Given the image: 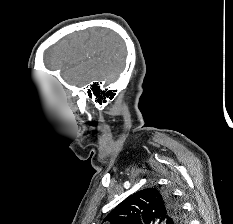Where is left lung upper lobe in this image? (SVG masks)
<instances>
[{"label":"left lung upper lobe","instance_id":"5c2ea615","mask_svg":"<svg viewBox=\"0 0 233 224\" xmlns=\"http://www.w3.org/2000/svg\"><path fill=\"white\" fill-rule=\"evenodd\" d=\"M159 219L166 224H183L179 204L169 192L147 188L134 193L112 210L104 221L111 224H150Z\"/></svg>","mask_w":233,"mask_h":224}]
</instances>
